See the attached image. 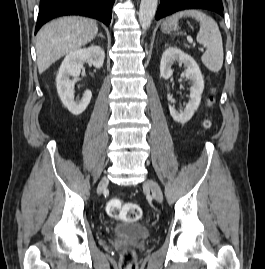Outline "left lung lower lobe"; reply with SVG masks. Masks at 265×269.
<instances>
[{"label":"left lung lower lobe","instance_id":"obj_1","mask_svg":"<svg viewBox=\"0 0 265 269\" xmlns=\"http://www.w3.org/2000/svg\"><path fill=\"white\" fill-rule=\"evenodd\" d=\"M185 9H207L223 16L222 0H161L156 20Z\"/></svg>","mask_w":265,"mask_h":269}]
</instances>
